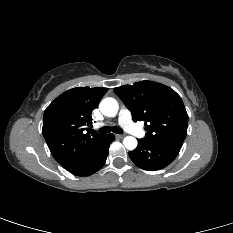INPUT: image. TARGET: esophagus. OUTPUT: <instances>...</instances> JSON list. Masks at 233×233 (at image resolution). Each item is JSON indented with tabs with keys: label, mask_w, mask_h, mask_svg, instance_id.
<instances>
[{
	"label": "esophagus",
	"mask_w": 233,
	"mask_h": 233,
	"mask_svg": "<svg viewBox=\"0 0 233 233\" xmlns=\"http://www.w3.org/2000/svg\"><path fill=\"white\" fill-rule=\"evenodd\" d=\"M116 137L119 139H122V138H124V135L123 134H116Z\"/></svg>",
	"instance_id": "1"
}]
</instances>
